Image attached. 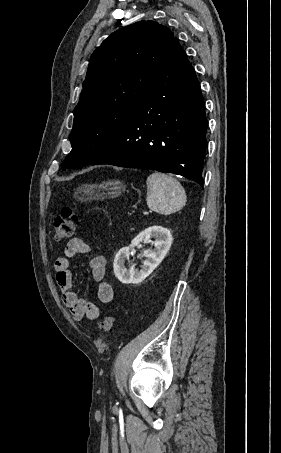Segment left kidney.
<instances>
[{"instance_id": "obj_1", "label": "left kidney", "mask_w": 281, "mask_h": 453, "mask_svg": "<svg viewBox=\"0 0 281 453\" xmlns=\"http://www.w3.org/2000/svg\"><path fill=\"white\" fill-rule=\"evenodd\" d=\"M152 237H154L155 241H152V245H154L155 249L153 251H143V257H147L146 261H143V265L139 271V269H135V267H130V269H125L124 261L128 259L130 255L131 249L133 247H138L139 243H147V241H151ZM172 235L169 229H164V227H148L142 233H139L133 241H131V245L129 247H123L118 251L114 263V275L121 281V283H125V285H139L142 283L146 277L151 275L152 271L160 265L161 261H163L164 257H166L171 245H172Z\"/></svg>"}]
</instances>
